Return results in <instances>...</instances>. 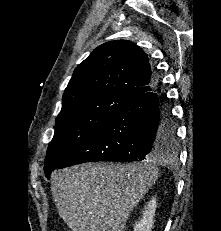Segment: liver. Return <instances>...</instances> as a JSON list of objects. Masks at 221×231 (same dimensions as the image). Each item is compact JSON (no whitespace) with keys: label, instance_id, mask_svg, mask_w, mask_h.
Listing matches in <instances>:
<instances>
[{"label":"liver","instance_id":"1","mask_svg":"<svg viewBox=\"0 0 221 231\" xmlns=\"http://www.w3.org/2000/svg\"><path fill=\"white\" fill-rule=\"evenodd\" d=\"M157 179L151 163H87L55 171L51 192L72 231H124L130 213Z\"/></svg>","mask_w":221,"mask_h":231}]
</instances>
